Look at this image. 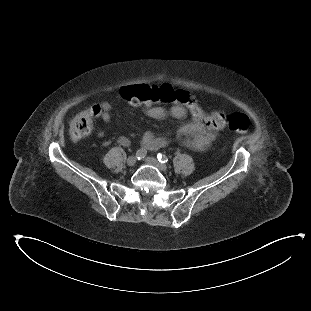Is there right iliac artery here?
<instances>
[{"label":"right iliac artery","mask_w":311,"mask_h":311,"mask_svg":"<svg viewBox=\"0 0 311 311\" xmlns=\"http://www.w3.org/2000/svg\"><path fill=\"white\" fill-rule=\"evenodd\" d=\"M146 154H147V150L144 148H141L136 152V158L138 160L143 159L146 156Z\"/></svg>","instance_id":"right-iliac-artery-1"}]
</instances>
